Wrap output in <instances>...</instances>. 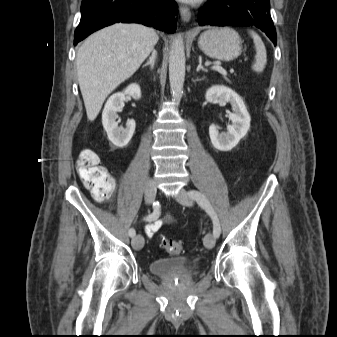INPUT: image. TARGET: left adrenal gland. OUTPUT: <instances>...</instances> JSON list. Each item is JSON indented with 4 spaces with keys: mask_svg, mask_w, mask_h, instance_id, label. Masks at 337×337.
I'll use <instances>...</instances> for the list:
<instances>
[{
    "mask_svg": "<svg viewBox=\"0 0 337 337\" xmlns=\"http://www.w3.org/2000/svg\"><path fill=\"white\" fill-rule=\"evenodd\" d=\"M200 70H202V71H204V72H207V71H208L207 69H205V68L202 66V58H201V57H199V65H198L196 71L199 72Z\"/></svg>",
    "mask_w": 337,
    "mask_h": 337,
    "instance_id": "a2214340",
    "label": "left adrenal gland"
}]
</instances>
